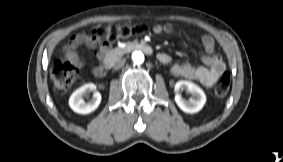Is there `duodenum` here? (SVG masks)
Returning <instances> with one entry per match:
<instances>
[{
	"mask_svg": "<svg viewBox=\"0 0 283 162\" xmlns=\"http://www.w3.org/2000/svg\"><path fill=\"white\" fill-rule=\"evenodd\" d=\"M134 50H140L143 51L146 54L152 53V48L149 44L142 41H130L126 42L120 46H117L113 49H111V54L108 57V59L105 62H102L106 65V67L110 70L114 66V62L123 56L124 54L134 51Z\"/></svg>",
	"mask_w": 283,
	"mask_h": 162,
	"instance_id": "obj_1",
	"label": "duodenum"
}]
</instances>
